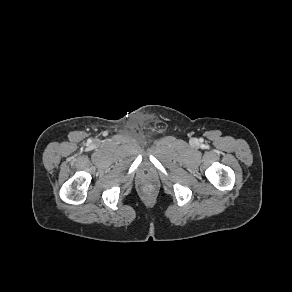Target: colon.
<instances>
[{
  "mask_svg": "<svg viewBox=\"0 0 292 292\" xmlns=\"http://www.w3.org/2000/svg\"><path fill=\"white\" fill-rule=\"evenodd\" d=\"M146 192H151L153 190V185L150 183H147L144 187Z\"/></svg>",
  "mask_w": 292,
  "mask_h": 292,
  "instance_id": "1",
  "label": "colon"
}]
</instances>
